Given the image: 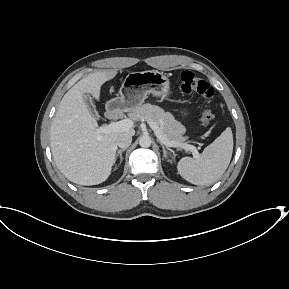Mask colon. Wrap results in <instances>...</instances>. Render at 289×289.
Instances as JSON below:
<instances>
[{"instance_id": "colon-1", "label": "colon", "mask_w": 289, "mask_h": 289, "mask_svg": "<svg viewBox=\"0 0 289 289\" xmlns=\"http://www.w3.org/2000/svg\"><path fill=\"white\" fill-rule=\"evenodd\" d=\"M180 91L184 94H198L204 97L208 104L214 95V90L210 84L203 78L197 76L191 71H184L180 76ZM214 120V114L209 105L204 111L201 122L204 126L210 125Z\"/></svg>"}]
</instances>
